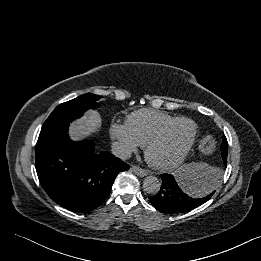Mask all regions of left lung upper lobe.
I'll use <instances>...</instances> for the list:
<instances>
[{
    "label": "left lung upper lobe",
    "instance_id": "1",
    "mask_svg": "<svg viewBox=\"0 0 261 261\" xmlns=\"http://www.w3.org/2000/svg\"><path fill=\"white\" fill-rule=\"evenodd\" d=\"M221 154H222V156L224 155V154H226L227 155V151H228V143H227V140H226V138L224 137L223 138V142H222V145H221Z\"/></svg>",
    "mask_w": 261,
    "mask_h": 261
}]
</instances>
